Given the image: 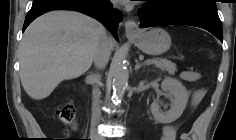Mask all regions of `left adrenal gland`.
<instances>
[{
  "label": "left adrenal gland",
  "instance_id": "obj_1",
  "mask_svg": "<svg viewBox=\"0 0 236 140\" xmlns=\"http://www.w3.org/2000/svg\"><path fill=\"white\" fill-rule=\"evenodd\" d=\"M136 65H135V71H138L141 67H144V64L139 63V61L136 59Z\"/></svg>",
  "mask_w": 236,
  "mask_h": 140
}]
</instances>
